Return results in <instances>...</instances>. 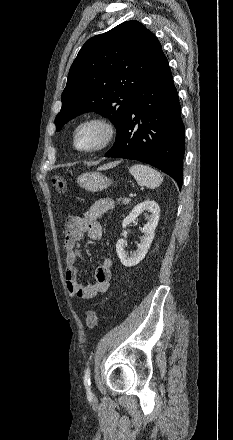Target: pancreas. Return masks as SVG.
<instances>
[{
  "label": "pancreas",
  "instance_id": "1",
  "mask_svg": "<svg viewBox=\"0 0 233 440\" xmlns=\"http://www.w3.org/2000/svg\"><path fill=\"white\" fill-rule=\"evenodd\" d=\"M117 203H118V204H124V205H126V204H129V203H130V199H127V198H119V199H117Z\"/></svg>",
  "mask_w": 233,
  "mask_h": 440
}]
</instances>
